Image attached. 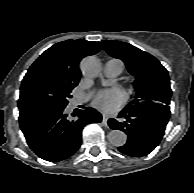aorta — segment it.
Instances as JSON below:
<instances>
[{
    "mask_svg": "<svg viewBox=\"0 0 194 193\" xmlns=\"http://www.w3.org/2000/svg\"><path fill=\"white\" fill-rule=\"evenodd\" d=\"M83 74L87 77H97L101 72V63L94 56L85 57L80 64ZM109 142L116 147H121L126 144L127 136L123 131L112 130L108 134Z\"/></svg>",
    "mask_w": 194,
    "mask_h": 193,
    "instance_id": "762f6f07",
    "label": "aorta"
}]
</instances>
